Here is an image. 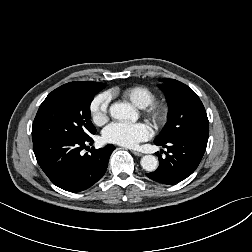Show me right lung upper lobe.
<instances>
[{
	"label": "right lung upper lobe",
	"instance_id": "right-lung-upper-lobe-1",
	"mask_svg": "<svg viewBox=\"0 0 252 252\" xmlns=\"http://www.w3.org/2000/svg\"><path fill=\"white\" fill-rule=\"evenodd\" d=\"M90 89H103L104 83H97L92 81H82V82H70Z\"/></svg>",
	"mask_w": 252,
	"mask_h": 252
}]
</instances>
